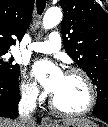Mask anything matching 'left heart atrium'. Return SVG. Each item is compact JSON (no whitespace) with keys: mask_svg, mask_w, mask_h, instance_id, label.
Wrapping results in <instances>:
<instances>
[{"mask_svg":"<svg viewBox=\"0 0 108 127\" xmlns=\"http://www.w3.org/2000/svg\"><path fill=\"white\" fill-rule=\"evenodd\" d=\"M34 75L48 92L54 93L64 77L62 71L49 62H37L34 65Z\"/></svg>","mask_w":108,"mask_h":127,"instance_id":"left-heart-atrium-1","label":"left heart atrium"}]
</instances>
